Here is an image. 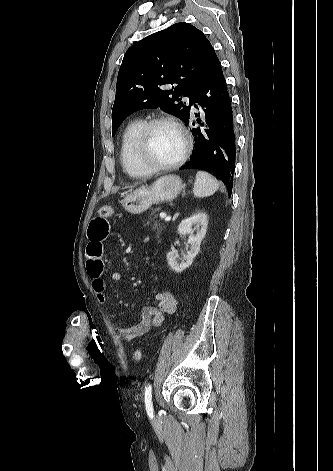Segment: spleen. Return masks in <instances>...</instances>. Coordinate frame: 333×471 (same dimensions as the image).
Masks as SVG:
<instances>
[{
	"label": "spleen",
	"mask_w": 333,
	"mask_h": 471,
	"mask_svg": "<svg viewBox=\"0 0 333 471\" xmlns=\"http://www.w3.org/2000/svg\"><path fill=\"white\" fill-rule=\"evenodd\" d=\"M219 189L218 181L209 173L198 171L193 188L195 197L203 198L213 195Z\"/></svg>",
	"instance_id": "obj_1"
}]
</instances>
